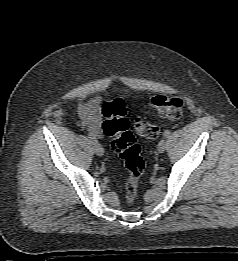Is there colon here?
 Listing matches in <instances>:
<instances>
[{
  "label": "colon",
  "instance_id": "5ec220e1",
  "mask_svg": "<svg viewBox=\"0 0 238 261\" xmlns=\"http://www.w3.org/2000/svg\"><path fill=\"white\" fill-rule=\"evenodd\" d=\"M149 106L166 118L177 119L182 115L184 102L178 97L156 95L150 98ZM126 114V104L122 99L105 103L103 105L105 120L102 123V130L107 136L112 137L110 146L123 160L127 171L124 185L125 202L132 205L137 198L140 180L146 165L136 137L129 129ZM133 127L139 136L148 139L155 138L159 133L157 126L142 117L134 119Z\"/></svg>",
  "mask_w": 238,
  "mask_h": 261
}]
</instances>
